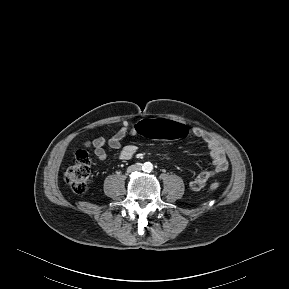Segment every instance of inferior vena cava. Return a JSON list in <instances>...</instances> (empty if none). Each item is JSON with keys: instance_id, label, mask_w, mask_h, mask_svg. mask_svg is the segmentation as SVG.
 <instances>
[{"instance_id": "obj_1", "label": "inferior vena cava", "mask_w": 289, "mask_h": 289, "mask_svg": "<svg viewBox=\"0 0 289 289\" xmlns=\"http://www.w3.org/2000/svg\"><path fill=\"white\" fill-rule=\"evenodd\" d=\"M141 170V166L138 165V164H135V165H131L127 168V172L130 173V172H135V171H140Z\"/></svg>"}]
</instances>
